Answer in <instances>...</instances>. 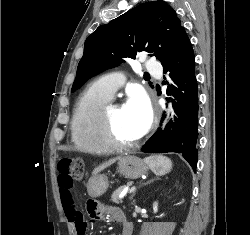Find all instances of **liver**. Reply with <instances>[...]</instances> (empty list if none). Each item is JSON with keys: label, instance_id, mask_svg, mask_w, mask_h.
Returning a JSON list of instances; mask_svg holds the SVG:
<instances>
[{"label": "liver", "instance_id": "1", "mask_svg": "<svg viewBox=\"0 0 250 235\" xmlns=\"http://www.w3.org/2000/svg\"><path fill=\"white\" fill-rule=\"evenodd\" d=\"M120 157L114 158V159H110L109 161L99 165L98 167H96L92 174L95 176L97 175L99 172L103 171L104 169H106L107 167L111 166L112 164H114Z\"/></svg>", "mask_w": 250, "mask_h": 235}]
</instances>
